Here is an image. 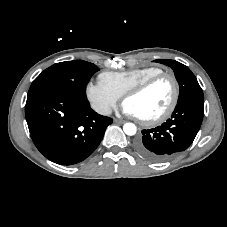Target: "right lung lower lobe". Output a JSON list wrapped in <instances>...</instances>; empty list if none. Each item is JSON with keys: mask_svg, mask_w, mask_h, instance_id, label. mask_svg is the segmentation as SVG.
<instances>
[{"mask_svg": "<svg viewBox=\"0 0 227 227\" xmlns=\"http://www.w3.org/2000/svg\"><path fill=\"white\" fill-rule=\"evenodd\" d=\"M25 114L35 146L60 165L91 155L113 121L92 110L84 97L53 90L27 97Z\"/></svg>", "mask_w": 227, "mask_h": 227, "instance_id": "98d812e1", "label": "right lung lower lobe"}]
</instances>
